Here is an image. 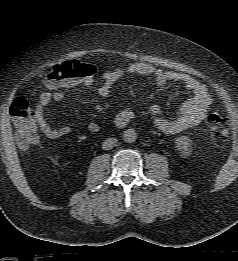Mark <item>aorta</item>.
<instances>
[{
    "instance_id": "1",
    "label": "aorta",
    "mask_w": 238,
    "mask_h": 261,
    "mask_svg": "<svg viewBox=\"0 0 238 261\" xmlns=\"http://www.w3.org/2000/svg\"><path fill=\"white\" fill-rule=\"evenodd\" d=\"M136 138L137 134L134 129H127L124 131L123 140L126 143H133L134 141H136Z\"/></svg>"
}]
</instances>
